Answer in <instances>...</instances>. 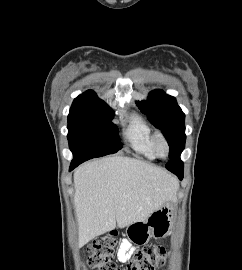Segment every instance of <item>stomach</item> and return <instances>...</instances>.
I'll list each match as a JSON object with an SVG mask.
<instances>
[{
    "label": "stomach",
    "instance_id": "0dacf381",
    "mask_svg": "<svg viewBox=\"0 0 242 270\" xmlns=\"http://www.w3.org/2000/svg\"><path fill=\"white\" fill-rule=\"evenodd\" d=\"M174 223V208L168 201L154 211L144 221L131 223L126 228L129 241L136 245L148 243L150 238L161 239L168 236Z\"/></svg>",
    "mask_w": 242,
    "mask_h": 270
}]
</instances>
